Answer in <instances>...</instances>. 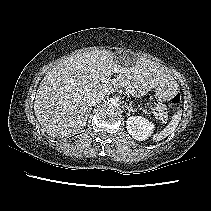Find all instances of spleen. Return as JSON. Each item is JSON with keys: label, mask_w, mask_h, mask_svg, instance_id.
Instances as JSON below:
<instances>
[{"label": "spleen", "mask_w": 211, "mask_h": 211, "mask_svg": "<svg viewBox=\"0 0 211 211\" xmlns=\"http://www.w3.org/2000/svg\"><path fill=\"white\" fill-rule=\"evenodd\" d=\"M181 116H182V111L181 110L177 111V113H175L172 116V120L170 121V123L162 131H160L159 133L155 134L153 136V139L155 141H160L163 138H165L168 135H170L172 132H174L175 129L177 128L180 120H181Z\"/></svg>", "instance_id": "1"}]
</instances>
